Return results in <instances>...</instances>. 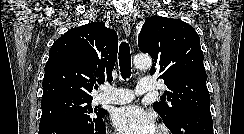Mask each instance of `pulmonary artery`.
I'll return each mask as SVG.
<instances>
[{"instance_id":"pulmonary-artery-1","label":"pulmonary artery","mask_w":244,"mask_h":134,"mask_svg":"<svg viewBox=\"0 0 244 134\" xmlns=\"http://www.w3.org/2000/svg\"><path fill=\"white\" fill-rule=\"evenodd\" d=\"M159 88L150 78L141 79L137 84L135 92L127 88H116L106 85L103 87V92L97 97V101L104 104H126L131 102L135 95H142Z\"/></svg>"}]
</instances>
